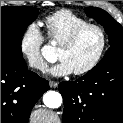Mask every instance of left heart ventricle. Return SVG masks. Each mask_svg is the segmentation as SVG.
<instances>
[{
	"instance_id": "obj_1",
	"label": "left heart ventricle",
	"mask_w": 123,
	"mask_h": 123,
	"mask_svg": "<svg viewBox=\"0 0 123 123\" xmlns=\"http://www.w3.org/2000/svg\"><path fill=\"white\" fill-rule=\"evenodd\" d=\"M101 45V36L95 29L86 31L70 48L58 49L57 57L65 60L73 71L86 67L96 56Z\"/></svg>"
}]
</instances>
